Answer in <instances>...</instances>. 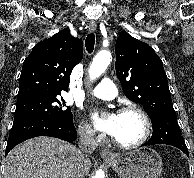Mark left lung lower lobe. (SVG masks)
Instances as JSON below:
<instances>
[{
  "mask_svg": "<svg viewBox=\"0 0 194 178\" xmlns=\"http://www.w3.org/2000/svg\"><path fill=\"white\" fill-rule=\"evenodd\" d=\"M153 134L143 146L155 144H168L175 146L188 155V149L181 135L176 113H161L151 118Z\"/></svg>",
  "mask_w": 194,
  "mask_h": 178,
  "instance_id": "obj_1",
  "label": "left lung lower lobe"
}]
</instances>
